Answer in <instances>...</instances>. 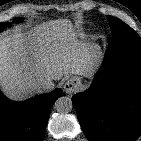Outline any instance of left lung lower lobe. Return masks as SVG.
I'll return each instance as SVG.
<instances>
[{
    "label": "left lung lower lobe",
    "instance_id": "obj_1",
    "mask_svg": "<svg viewBox=\"0 0 141 141\" xmlns=\"http://www.w3.org/2000/svg\"><path fill=\"white\" fill-rule=\"evenodd\" d=\"M90 141H134L141 134V43L110 42L91 87L72 97Z\"/></svg>",
    "mask_w": 141,
    "mask_h": 141
}]
</instances>
